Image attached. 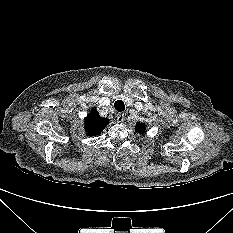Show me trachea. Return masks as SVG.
<instances>
[{
    "mask_svg": "<svg viewBox=\"0 0 233 233\" xmlns=\"http://www.w3.org/2000/svg\"><path fill=\"white\" fill-rule=\"evenodd\" d=\"M114 107L118 112H122V111L125 110V104H124V102L122 100H117L114 103Z\"/></svg>",
    "mask_w": 233,
    "mask_h": 233,
    "instance_id": "1",
    "label": "trachea"
}]
</instances>
